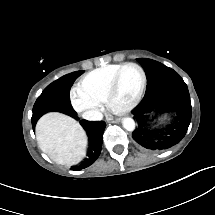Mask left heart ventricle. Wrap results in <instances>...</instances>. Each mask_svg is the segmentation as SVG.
Wrapping results in <instances>:
<instances>
[{"instance_id":"b2bd125f","label":"left heart ventricle","mask_w":215,"mask_h":215,"mask_svg":"<svg viewBox=\"0 0 215 215\" xmlns=\"http://www.w3.org/2000/svg\"><path fill=\"white\" fill-rule=\"evenodd\" d=\"M138 83L137 71L133 68H125L118 72L117 93L134 94Z\"/></svg>"}]
</instances>
